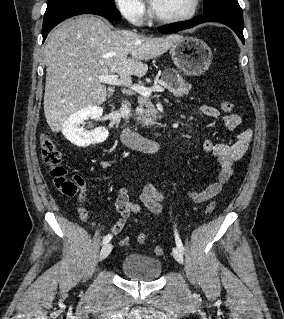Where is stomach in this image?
Wrapping results in <instances>:
<instances>
[{"label": "stomach", "instance_id": "0dacf381", "mask_svg": "<svg viewBox=\"0 0 284 319\" xmlns=\"http://www.w3.org/2000/svg\"><path fill=\"white\" fill-rule=\"evenodd\" d=\"M175 65L189 76L203 74L211 65L212 51L201 39L182 37L171 48Z\"/></svg>", "mask_w": 284, "mask_h": 319}]
</instances>
